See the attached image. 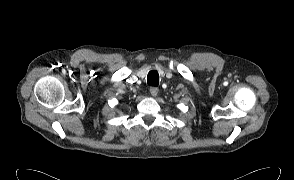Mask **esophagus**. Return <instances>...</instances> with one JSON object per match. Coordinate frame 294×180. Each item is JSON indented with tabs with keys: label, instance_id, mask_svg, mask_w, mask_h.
<instances>
[{
	"label": "esophagus",
	"instance_id": "34e87169",
	"mask_svg": "<svg viewBox=\"0 0 294 180\" xmlns=\"http://www.w3.org/2000/svg\"><path fill=\"white\" fill-rule=\"evenodd\" d=\"M149 91H150V94H151L153 97H156V96L158 95V93H159V89L156 88V87H151Z\"/></svg>",
	"mask_w": 294,
	"mask_h": 180
}]
</instances>
